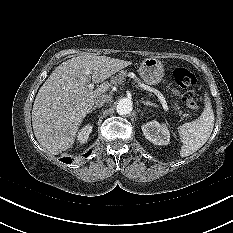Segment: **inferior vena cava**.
Masks as SVG:
<instances>
[{"label":"inferior vena cava","mask_w":233,"mask_h":233,"mask_svg":"<svg viewBox=\"0 0 233 233\" xmlns=\"http://www.w3.org/2000/svg\"><path fill=\"white\" fill-rule=\"evenodd\" d=\"M112 97L108 95H103L102 97L98 98L95 103L96 105H103L105 102L111 101Z\"/></svg>","instance_id":"602c4592"}]
</instances>
